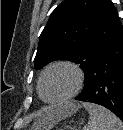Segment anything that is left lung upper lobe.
Listing matches in <instances>:
<instances>
[{
  "mask_svg": "<svg viewBox=\"0 0 123 130\" xmlns=\"http://www.w3.org/2000/svg\"><path fill=\"white\" fill-rule=\"evenodd\" d=\"M122 28L111 0H64L40 35L34 67L71 60L80 64L86 79L94 60Z\"/></svg>",
  "mask_w": 123,
  "mask_h": 130,
  "instance_id": "obj_1",
  "label": "left lung upper lobe"
}]
</instances>
